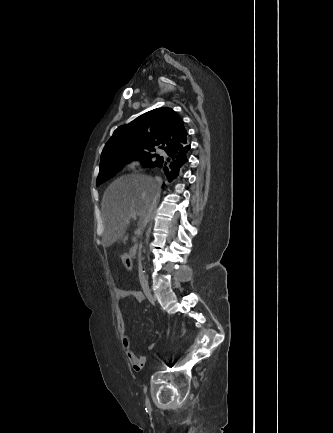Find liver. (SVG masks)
<instances>
[{
    "mask_svg": "<svg viewBox=\"0 0 333 433\" xmlns=\"http://www.w3.org/2000/svg\"><path fill=\"white\" fill-rule=\"evenodd\" d=\"M160 196L156 182L146 175H124L111 183L102 198L103 247H110L125 233L130 213L138 217V229L144 230V219L153 213ZM130 222V221H129ZM128 240V234L123 242Z\"/></svg>",
    "mask_w": 333,
    "mask_h": 433,
    "instance_id": "liver-1",
    "label": "liver"
}]
</instances>
